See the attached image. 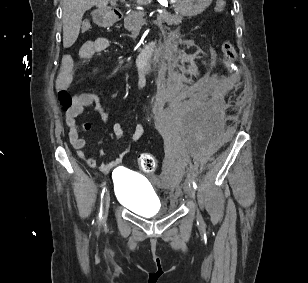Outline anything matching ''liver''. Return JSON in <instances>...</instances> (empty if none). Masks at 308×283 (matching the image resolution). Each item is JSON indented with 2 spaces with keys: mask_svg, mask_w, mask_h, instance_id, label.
I'll list each match as a JSON object with an SVG mask.
<instances>
[{
  "mask_svg": "<svg viewBox=\"0 0 308 283\" xmlns=\"http://www.w3.org/2000/svg\"><path fill=\"white\" fill-rule=\"evenodd\" d=\"M111 0H63V46L71 47L78 38L84 13L93 6L103 10ZM151 0H137L138 3H149Z\"/></svg>",
  "mask_w": 308,
  "mask_h": 283,
  "instance_id": "6515ba94",
  "label": "liver"
}]
</instances>
